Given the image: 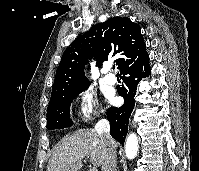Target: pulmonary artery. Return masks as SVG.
I'll return each mask as SVG.
<instances>
[{
	"label": "pulmonary artery",
	"instance_id": "pulmonary-artery-1",
	"mask_svg": "<svg viewBox=\"0 0 199 171\" xmlns=\"http://www.w3.org/2000/svg\"><path fill=\"white\" fill-rule=\"evenodd\" d=\"M103 71L105 73L103 78L105 83H107L108 85H114L116 83V78L113 74L110 73V67H104Z\"/></svg>",
	"mask_w": 199,
	"mask_h": 171
}]
</instances>
